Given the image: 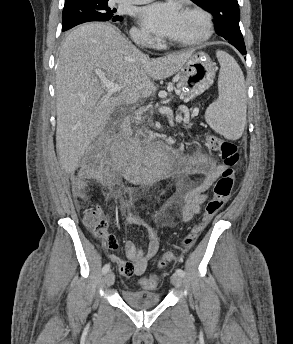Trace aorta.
Listing matches in <instances>:
<instances>
[{
    "label": "aorta",
    "instance_id": "762f6f07",
    "mask_svg": "<svg viewBox=\"0 0 293 344\" xmlns=\"http://www.w3.org/2000/svg\"><path fill=\"white\" fill-rule=\"evenodd\" d=\"M166 161V154L165 153H160L158 157L153 161L152 165L162 169L165 165Z\"/></svg>",
    "mask_w": 293,
    "mask_h": 344
}]
</instances>
